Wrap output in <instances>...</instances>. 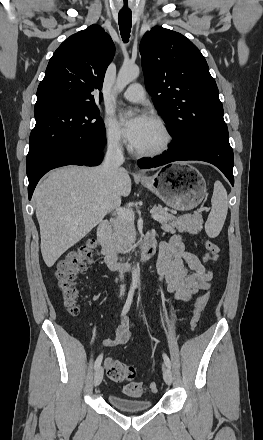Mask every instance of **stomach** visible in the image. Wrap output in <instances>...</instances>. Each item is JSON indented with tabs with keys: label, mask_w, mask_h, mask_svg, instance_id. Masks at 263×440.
I'll return each instance as SVG.
<instances>
[{
	"label": "stomach",
	"mask_w": 263,
	"mask_h": 440,
	"mask_svg": "<svg viewBox=\"0 0 263 440\" xmlns=\"http://www.w3.org/2000/svg\"><path fill=\"white\" fill-rule=\"evenodd\" d=\"M141 180V183L167 206L179 211L197 207L206 194V182L202 174L192 166L171 167Z\"/></svg>",
	"instance_id": "1"
}]
</instances>
